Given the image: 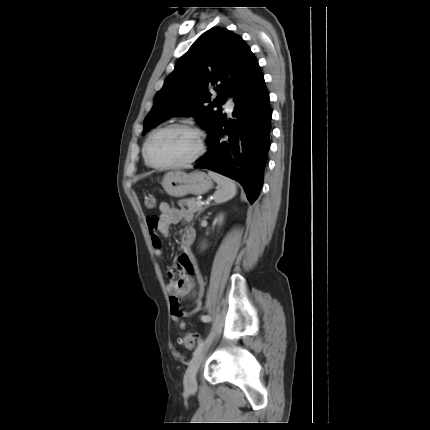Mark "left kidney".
Returning <instances> with one entry per match:
<instances>
[{"mask_svg":"<svg viewBox=\"0 0 430 430\" xmlns=\"http://www.w3.org/2000/svg\"><path fill=\"white\" fill-rule=\"evenodd\" d=\"M220 223L223 221V218H222V216H220L219 217V220H218Z\"/></svg>","mask_w":430,"mask_h":430,"instance_id":"1","label":"left kidney"}]
</instances>
